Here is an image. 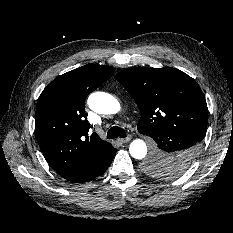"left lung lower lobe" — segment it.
Returning <instances> with one entry per match:
<instances>
[{"label":"left lung lower lobe","mask_w":233,"mask_h":233,"mask_svg":"<svg viewBox=\"0 0 233 233\" xmlns=\"http://www.w3.org/2000/svg\"><path fill=\"white\" fill-rule=\"evenodd\" d=\"M150 137L156 143L154 153L163 155L179 169L187 170L198 153V144L195 142V138L186 133L158 130ZM176 176L179 175L169 172L158 177L171 178Z\"/></svg>","instance_id":"obj_1"}]
</instances>
